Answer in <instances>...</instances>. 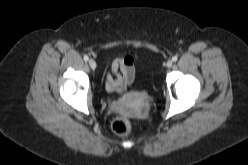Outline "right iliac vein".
Masks as SVG:
<instances>
[{"instance_id": "1", "label": "right iliac vein", "mask_w": 248, "mask_h": 165, "mask_svg": "<svg viewBox=\"0 0 248 165\" xmlns=\"http://www.w3.org/2000/svg\"><path fill=\"white\" fill-rule=\"evenodd\" d=\"M89 65L92 69H95L96 68V62L94 59H90L89 60Z\"/></svg>"}]
</instances>
